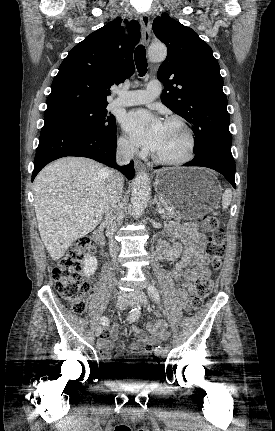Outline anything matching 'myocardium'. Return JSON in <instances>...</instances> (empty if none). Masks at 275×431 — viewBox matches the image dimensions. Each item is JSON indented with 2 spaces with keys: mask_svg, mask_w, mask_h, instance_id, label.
<instances>
[{
  "mask_svg": "<svg viewBox=\"0 0 275 431\" xmlns=\"http://www.w3.org/2000/svg\"><path fill=\"white\" fill-rule=\"evenodd\" d=\"M165 123H176L183 129L187 138V150L186 153L178 159H165L154 153L152 156L153 160L164 166H181L190 162L194 158L196 151V138L192 128L180 116H171L166 119Z\"/></svg>",
  "mask_w": 275,
  "mask_h": 431,
  "instance_id": "1",
  "label": "myocardium"
}]
</instances>
